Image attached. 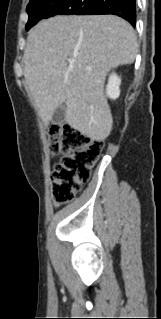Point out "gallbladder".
<instances>
[{"label":"gallbladder","instance_id":"gallbladder-1","mask_svg":"<svg viewBox=\"0 0 161 319\" xmlns=\"http://www.w3.org/2000/svg\"><path fill=\"white\" fill-rule=\"evenodd\" d=\"M65 121V104H62L56 108L53 113L51 122L55 125H60Z\"/></svg>","mask_w":161,"mask_h":319}]
</instances>
